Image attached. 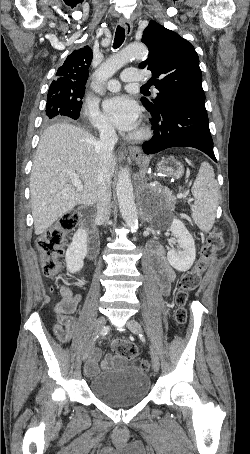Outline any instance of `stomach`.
Listing matches in <instances>:
<instances>
[{"label":"stomach","instance_id":"0dacf381","mask_svg":"<svg viewBox=\"0 0 250 454\" xmlns=\"http://www.w3.org/2000/svg\"><path fill=\"white\" fill-rule=\"evenodd\" d=\"M136 162H137L138 165L146 168V162L145 161L137 160ZM157 170L163 176L174 177V178H180L182 176V174H183V171H184L183 166L181 165V163H179L178 161H176L173 158L162 159L158 163Z\"/></svg>","mask_w":250,"mask_h":454}]
</instances>
